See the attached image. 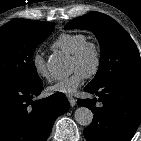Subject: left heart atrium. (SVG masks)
Wrapping results in <instances>:
<instances>
[{
  "label": "left heart atrium",
  "instance_id": "39dd6f15",
  "mask_svg": "<svg viewBox=\"0 0 141 141\" xmlns=\"http://www.w3.org/2000/svg\"><path fill=\"white\" fill-rule=\"evenodd\" d=\"M84 75L80 71H73L67 78L61 79L49 87L51 93L73 94L82 84Z\"/></svg>",
  "mask_w": 141,
  "mask_h": 141
}]
</instances>
